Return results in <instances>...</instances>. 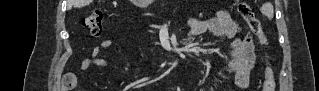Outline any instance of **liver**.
Here are the masks:
<instances>
[{
  "label": "liver",
  "instance_id": "liver-1",
  "mask_svg": "<svg viewBox=\"0 0 319 91\" xmlns=\"http://www.w3.org/2000/svg\"><path fill=\"white\" fill-rule=\"evenodd\" d=\"M92 0H72L74 7H84L88 5Z\"/></svg>",
  "mask_w": 319,
  "mask_h": 91
}]
</instances>
